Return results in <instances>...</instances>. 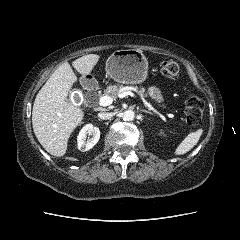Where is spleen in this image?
I'll list each match as a JSON object with an SVG mask.
<instances>
[{
  "label": "spleen",
  "instance_id": "obj_1",
  "mask_svg": "<svg viewBox=\"0 0 240 240\" xmlns=\"http://www.w3.org/2000/svg\"><path fill=\"white\" fill-rule=\"evenodd\" d=\"M203 134V129L200 128L189 133L175 149V155H183L189 152L199 141Z\"/></svg>",
  "mask_w": 240,
  "mask_h": 240
}]
</instances>
